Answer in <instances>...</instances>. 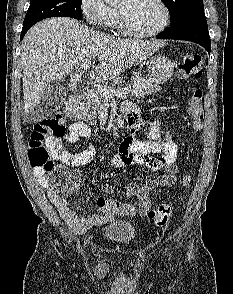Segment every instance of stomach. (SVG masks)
I'll use <instances>...</instances> for the list:
<instances>
[{
	"label": "stomach",
	"instance_id": "stomach-1",
	"mask_svg": "<svg viewBox=\"0 0 233 294\" xmlns=\"http://www.w3.org/2000/svg\"><path fill=\"white\" fill-rule=\"evenodd\" d=\"M149 79L155 84L165 83L174 73V65L168 58L156 55L147 59Z\"/></svg>",
	"mask_w": 233,
	"mask_h": 294
}]
</instances>
